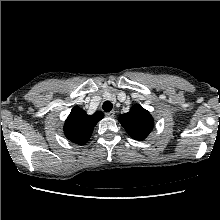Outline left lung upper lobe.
Wrapping results in <instances>:
<instances>
[{"instance_id": "5c2ea615", "label": "left lung upper lobe", "mask_w": 220, "mask_h": 220, "mask_svg": "<svg viewBox=\"0 0 220 220\" xmlns=\"http://www.w3.org/2000/svg\"><path fill=\"white\" fill-rule=\"evenodd\" d=\"M119 121L127 133L139 141L144 140L154 126L150 113L139 104L134 105L128 113L120 115Z\"/></svg>"}]
</instances>
